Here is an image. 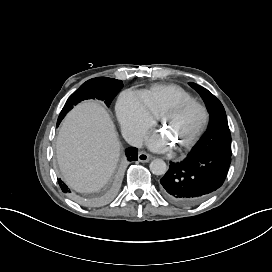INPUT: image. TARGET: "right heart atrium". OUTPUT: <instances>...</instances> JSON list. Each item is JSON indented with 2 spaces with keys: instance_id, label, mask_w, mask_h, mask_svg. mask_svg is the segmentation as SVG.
I'll use <instances>...</instances> for the list:
<instances>
[{
  "instance_id": "right-heart-atrium-1",
  "label": "right heart atrium",
  "mask_w": 272,
  "mask_h": 272,
  "mask_svg": "<svg viewBox=\"0 0 272 272\" xmlns=\"http://www.w3.org/2000/svg\"><path fill=\"white\" fill-rule=\"evenodd\" d=\"M117 109L123 129L134 141L140 140L157 121L144 96L137 92L124 91Z\"/></svg>"
}]
</instances>
